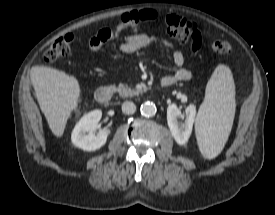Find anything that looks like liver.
Masks as SVG:
<instances>
[{"label":"liver","mask_w":275,"mask_h":215,"mask_svg":"<svg viewBox=\"0 0 275 215\" xmlns=\"http://www.w3.org/2000/svg\"><path fill=\"white\" fill-rule=\"evenodd\" d=\"M30 79L49 128L56 137H61L71 112L78 106L81 94L78 80L47 66L32 67Z\"/></svg>","instance_id":"1"}]
</instances>
